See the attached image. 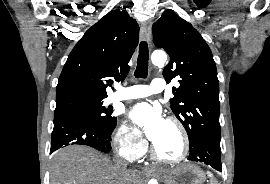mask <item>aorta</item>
<instances>
[{"mask_svg": "<svg viewBox=\"0 0 270 184\" xmlns=\"http://www.w3.org/2000/svg\"><path fill=\"white\" fill-rule=\"evenodd\" d=\"M152 63L156 66H163L167 60V55L163 51H155L151 56ZM148 184H158L157 180L151 179Z\"/></svg>", "mask_w": 270, "mask_h": 184, "instance_id": "obj_1", "label": "aorta"}]
</instances>
